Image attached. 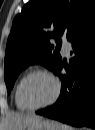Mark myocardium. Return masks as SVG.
<instances>
[{
  "instance_id": "myocardium-1",
  "label": "myocardium",
  "mask_w": 95,
  "mask_h": 130,
  "mask_svg": "<svg viewBox=\"0 0 95 130\" xmlns=\"http://www.w3.org/2000/svg\"><path fill=\"white\" fill-rule=\"evenodd\" d=\"M38 74L45 75V76L49 77L53 81V83H54L55 91H54V94H53L52 98L49 101H47L46 103L38 105V106H31L24 100L23 95H22V90H23V86L26 83V81L30 77H32L34 75H38ZM60 91H61L60 81L52 72H50V71H48L46 69H35V70L29 72L28 74H26L22 78V80H21V82L19 84V87H18L17 96H18L19 103L25 109L31 110V111H35V110H39V109H42L44 107L52 105L58 99V97L60 95Z\"/></svg>"
}]
</instances>
